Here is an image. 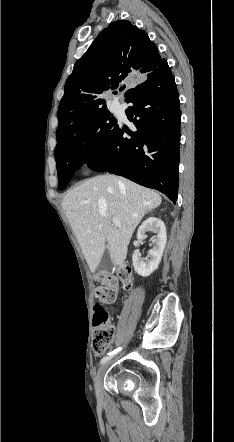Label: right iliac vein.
<instances>
[{"label":"right iliac vein","mask_w":234,"mask_h":442,"mask_svg":"<svg viewBox=\"0 0 234 442\" xmlns=\"http://www.w3.org/2000/svg\"><path fill=\"white\" fill-rule=\"evenodd\" d=\"M109 366V362L104 363L98 370L97 375L94 380L95 392L98 396L102 393V381Z\"/></svg>","instance_id":"63e3f726"}]
</instances>
